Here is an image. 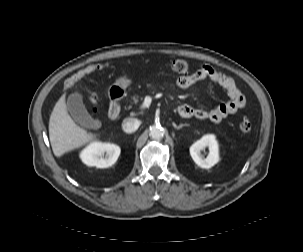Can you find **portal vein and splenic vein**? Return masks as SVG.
Wrapping results in <instances>:
<instances>
[{
	"label": "portal vein and splenic vein",
	"mask_w": 303,
	"mask_h": 252,
	"mask_svg": "<svg viewBox=\"0 0 303 252\" xmlns=\"http://www.w3.org/2000/svg\"><path fill=\"white\" fill-rule=\"evenodd\" d=\"M150 105V100H144V102L142 103V105L140 106L141 109L147 108Z\"/></svg>",
	"instance_id": "18ae733b"
}]
</instances>
